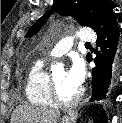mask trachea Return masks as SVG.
I'll use <instances>...</instances> for the list:
<instances>
[{
  "label": "trachea",
  "instance_id": "1",
  "mask_svg": "<svg viewBox=\"0 0 122 123\" xmlns=\"http://www.w3.org/2000/svg\"><path fill=\"white\" fill-rule=\"evenodd\" d=\"M85 45H86V46H91L90 43H86Z\"/></svg>",
  "mask_w": 122,
  "mask_h": 123
}]
</instances>
